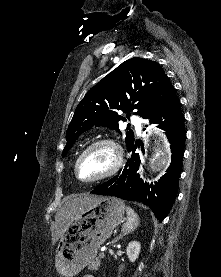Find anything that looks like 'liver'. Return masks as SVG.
<instances>
[{"instance_id": "liver-1", "label": "liver", "mask_w": 221, "mask_h": 277, "mask_svg": "<svg viewBox=\"0 0 221 277\" xmlns=\"http://www.w3.org/2000/svg\"><path fill=\"white\" fill-rule=\"evenodd\" d=\"M100 197L94 195H82L66 202L56 213L55 230L52 234V244H55L67 230L71 220L84 208L96 202Z\"/></svg>"}]
</instances>
